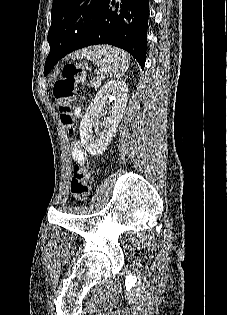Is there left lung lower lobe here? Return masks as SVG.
<instances>
[{
	"label": "left lung lower lobe",
	"mask_w": 227,
	"mask_h": 315,
	"mask_svg": "<svg viewBox=\"0 0 227 315\" xmlns=\"http://www.w3.org/2000/svg\"><path fill=\"white\" fill-rule=\"evenodd\" d=\"M105 0L100 12L81 38L70 47L61 39L49 41L50 53L46 59L44 74L66 54L98 44H109L129 52L144 69L146 60L147 24L149 0Z\"/></svg>",
	"instance_id": "obj_1"
}]
</instances>
